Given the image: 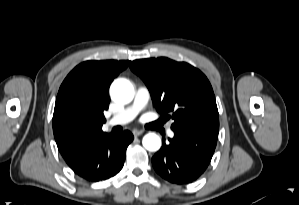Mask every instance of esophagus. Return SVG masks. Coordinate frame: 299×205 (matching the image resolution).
<instances>
[{
    "mask_svg": "<svg viewBox=\"0 0 299 205\" xmlns=\"http://www.w3.org/2000/svg\"><path fill=\"white\" fill-rule=\"evenodd\" d=\"M143 134V131H141V130H133V135L135 136V137H138V136H140V135H142Z\"/></svg>",
    "mask_w": 299,
    "mask_h": 205,
    "instance_id": "1",
    "label": "esophagus"
}]
</instances>
